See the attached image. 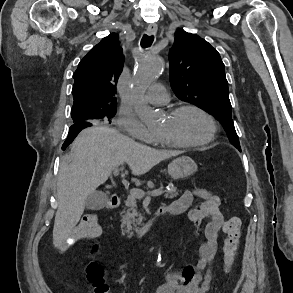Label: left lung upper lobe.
<instances>
[{
  "instance_id": "5c2ea615",
  "label": "left lung upper lobe",
  "mask_w": 293,
  "mask_h": 293,
  "mask_svg": "<svg viewBox=\"0 0 293 293\" xmlns=\"http://www.w3.org/2000/svg\"><path fill=\"white\" fill-rule=\"evenodd\" d=\"M169 61L173 92L211 113L222 123L230 142L241 150L231 116L225 66L217 50L196 34L179 30Z\"/></svg>"
}]
</instances>
